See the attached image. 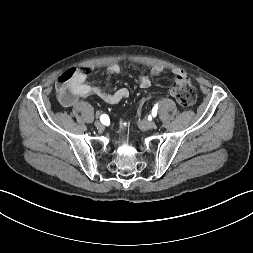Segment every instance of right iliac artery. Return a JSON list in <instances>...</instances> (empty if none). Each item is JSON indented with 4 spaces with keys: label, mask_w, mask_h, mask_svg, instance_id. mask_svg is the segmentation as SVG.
<instances>
[{
    "label": "right iliac artery",
    "mask_w": 253,
    "mask_h": 253,
    "mask_svg": "<svg viewBox=\"0 0 253 253\" xmlns=\"http://www.w3.org/2000/svg\"><path fill=\"white\" fill-rule=\"evenodd\" d=\"M107 120H108V116H107L106 114L101 115L100 121H101L102 123H105Z\"/></svg>",
    "instance_id": "82829eb1"
}]
</instances>
